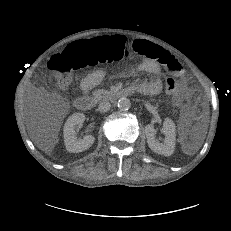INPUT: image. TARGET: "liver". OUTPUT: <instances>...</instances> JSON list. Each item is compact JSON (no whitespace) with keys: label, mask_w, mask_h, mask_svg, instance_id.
<instances>
[{"label":"liver","mask_w":231,"mask_h":231,"mask_svg":"<svg viewBox=\"0 0 231 231\" xmlns=\"http://www.w3.org/2000/svg\"><path fill=\"white\" fill-rule=\"evenodd\" d=\"M37 145L43 151H48L49 152V151H51L53 149V145H51V146H45L44 144H41L39 142H37Z\"/></svg>","instance_id":"1"}]
</instances>
